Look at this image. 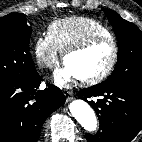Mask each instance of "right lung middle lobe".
<instances>
[{"instance_id": "dd1d6c3e", "label": "right lung middle lobe", "mask_w": 142, "mask_h": 142, "mask_svg": "<svg viewBox=\"0 0 142 142\" xmlns=\"http://www.w3.org/2000/svg\"><path fill=\"white\" fill-rule=\"evenodd\" d=\"M31 32L24 14L0 18V86L25 81L36 73L29 52Z\"/></svg>"}]
</instances>
